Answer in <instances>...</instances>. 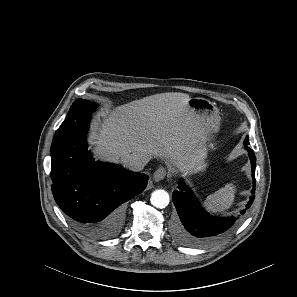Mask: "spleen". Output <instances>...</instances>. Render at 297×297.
<instances>
[{
  "label": "spleen",
  "mask_w": 297,
  "mask_h": 297,
  "mask_svg": "<svg viewBox=\"0 0 297 297\" xmlns=\"http://www.w3.org/2000/svg\"><path fill=\"white\" fill-rule=\"evenodd\" d=\"M236 186L232 183L226 184L214 194H210L204 204L207 209L213 212H225L229 209L235 200Z\"/></svg>",
  "instance_id": "spleen-1"
}]
</instances>
